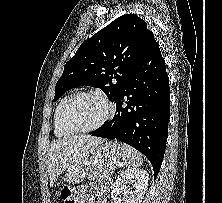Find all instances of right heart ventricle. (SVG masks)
<instances>
[{
  "label": "right heart ventricle",
  "mask_w": 222,
  "mask_h": 203,
  "mask_svg": "<svg viewBox=\"0 0 222 203\" xmlns=\"http://www.w3.org/2000/svg\"><path fill=\"white\" fill-rule=\"evenodd\" d=\"M69 97H70V95L63 97L59 101V103L57 104L55 111H54V116H53L54 133L58 137H65V136H69L70 134H72L71 131L65 129L62 126L61 121H60L61 110Z\"/></svg>",
  "instance_id": "right-heart-ventricle-1"
}]
</instances>
